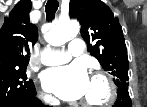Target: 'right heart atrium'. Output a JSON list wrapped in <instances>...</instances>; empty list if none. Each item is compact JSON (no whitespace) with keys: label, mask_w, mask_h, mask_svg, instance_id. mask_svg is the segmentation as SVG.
Returning a JSON list of instances; mask_svg holds the SVG:
<instances>
[{"label":"right heart atrium","mask_w":147,"mask_h":107,"mask_svg":"<svg viewBox=\"0 0 147 107\" xmlns=\"http://www.w3.org/2000/svg\"><path fill=\"white\" fill-rule=\"evenodd\" d=\"M37 96H38L41 100H43V101H45V102H48V103H52V102H53L52 96H50L49 94L44 93V92H42V91H39L38 94H37Z\"/></svg>","instance_id":"obj_1"}]
</instances>
